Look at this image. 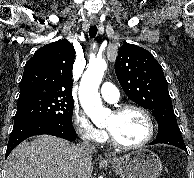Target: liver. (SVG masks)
<instances>
[{"mask_svg":"<svg viewBox=\"0 0 194 178\" xmlns=\"http://www.w3.org/2000/svg\"><path fill=\"white\" fill-rule=\"evenodd\" d=\"M92 157L81 147L59 137L38 136L9 155L5 178H90Z\"/></svg>","mask_w":194,"mask_h":178,"instance_id":"obj_1","label":"liver"}]
</instances>
